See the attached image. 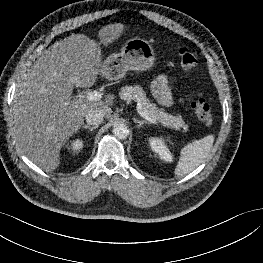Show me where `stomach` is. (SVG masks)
Wrapping results in <instances>:
<instances>
[{
  "instance_id": "1",
  "label": "stomach",
  "mask_w": 263,
  "mask_h": 263,
  "mask_svg": "<svg viewBox=\"0 0 263 263\" xmlns=\"http://www.w3.org/2000/svg\"><path fill=\"white\" fill-rule=\"evenodd\" d=\"M154 50L150 43L141 38L128 40L119 53H113L102 62L106 78L118 81L128 70L146 71L154 66Z\"/></svg>"
}]
</instances>
